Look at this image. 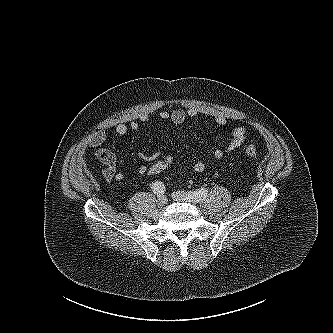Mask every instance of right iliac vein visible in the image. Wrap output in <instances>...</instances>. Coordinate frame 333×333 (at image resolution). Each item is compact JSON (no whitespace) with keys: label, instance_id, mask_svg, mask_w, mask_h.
I'll use <instances>...</instances> for the list:
<instances>
[{"label":"right iliac vein","instance_id":"63e3f726","mask_svg":"<svg viewBox=\"0 0 333 333\" xmlns=\"http://www.w3.org/2000/svg\"><path fill=\"white\" fill-rule=\"evenodd\" d=\"M157 202L159 205L163 206L167 203V198L163 194H161L158 196Z\"/></svg>","mask_w":333,"mask_h":333}]
</instances>
